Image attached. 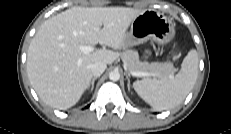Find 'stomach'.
Masks as SVG:
<instances>
[{
  "label": "stomach",
  "instance_id": "obj_1",
  "mask_svg": "<svg viewBox=\"0 0 231 134\" xmlns=\"http://www.w3.org/2000/svg\"><path fill=\"white\" fill-rule=\"evenodd\" d=\"M175 35L172 21L155 10H145L138 15L126 34L125 46L131 47L152 40L158 44L170 42Z\"/></svg>",
  "mask_w": 231,
  "mask_h": 134
}]
</instances>
